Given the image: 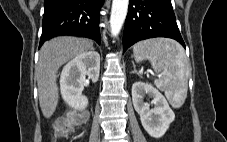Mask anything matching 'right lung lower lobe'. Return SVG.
Masks as SVG:
<instances>
[{"label": "right lung lower lobe", "instance_id": "1", "mask_svg": "<svg viewBox=\"0 0 227 142\" xmlns=\"http://www.w3.org/2000/svg\"><path fill=\"white\" fill-rule=\"evenodd\" d=\"M104 0H44L39 47L60 35L87 37L100 44V8Z\"/></svg>", "mask_w": 227, "mask_h": 142}]
</instances>
